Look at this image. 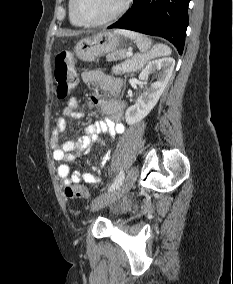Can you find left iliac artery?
<instances>
[{
    "label": "left iliac artery",
    "instance_id": "obj_1",
    "mask_svg": "<svg viewBox=\"0 0 233 284\" xmlns=\"http://www.w3.org/2000/svg\"><path fill=\"white\" fill-rule=\"evenodd\" d=\"M124 180V172L121 170L118 176L116 177L115 181L112 183V185L109 188V191L117 189Z\"/></svg>",
    "mask_w": 233,
    "mask_h": 284
}]
</instances>
